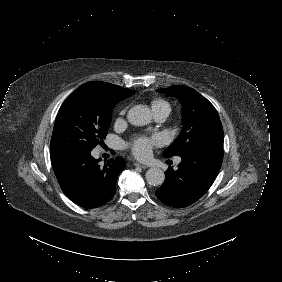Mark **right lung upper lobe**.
<instances>
[{"mask_svg": "<svg viewBox=\"0 0 282 282\" xmlns=\"http://www.w3.org/2000/svg\"><path fill=\"white\" fill-rule=\"evenodd\" d=\"M102 83H104V82H99V81H97V82H88V83H86V84H84L82 86H89V85L102 84Z\"/></svg>", "mask_w": 282, "mask_h": 282, "instance_id": "obj_1", "label": "right lung upper lobe"}]
</instances>
